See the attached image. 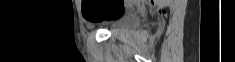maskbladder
I'll use <instances>...</instances> for the list:
<instances>
[{
	"label": "bladder",
	"instance_id": "31cf9c89",
	"mask_svg": "<svg viewBox=\"0 0 235 62\" xmlns=\"http://www.w3.org/2000/svg\"><path fill=\"white\" fill-rule=\"evenodd\" d=\"M137 21L138 17L135 13L127 12L123 15H120L114 20L112 24V29L127 28L136 24Z\"/></svg>",
	"mask_w": 235,
	"mask_h": 62
}]
</instances>
